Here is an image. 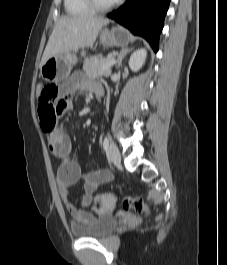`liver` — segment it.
<instances>
[{"instance_id": "liver-1", "label": "liver", "mask_w": 227, "mask_h": 265, "mask_svg": "<svg viewBox=\"0 0 227 265\" xmlns=\"http://www.w3.org/2000/svg\"><path fill=\"white\" fill-rule=\"evenodd\" d=\"M108 23V19L91 15L61 17L50 35L40 68L51 57L92 46L101 28Z\"/></svg>"}]
</instances>
